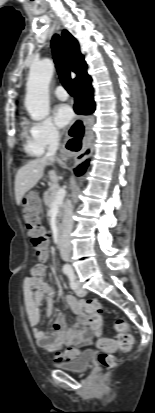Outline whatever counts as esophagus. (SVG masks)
<instances>
[{"mask_svg":"<svg viewBox=\"0 0 155 413\" xmlns=\"http://www.w3.org/2000/svg\"><path fill=\"white\" fill-rule=\"evenodd\" d=\"M64 149H67V147L64 146ZM92 152H93V147L89 143H87L84 146V149L75 156V159H74L75 164H79L83 162L84 160H86L92 154Z\"/></svg>","mask_w":155,"mask_h":413,"instance_id":"obj_1","label":"esophagus"}]
</instances>
